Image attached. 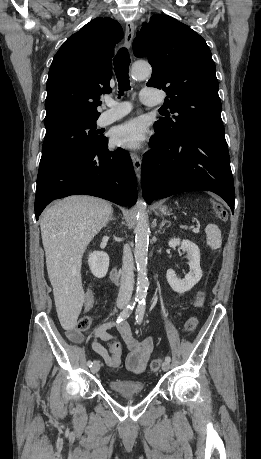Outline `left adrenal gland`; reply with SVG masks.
<instances>
[{
  "mask_svg": "<svg viewBox=\"0 0 261 459\" xmlns=\"http://www.w3.org/2000/svg\"><path fill=\"white\" fill-rule=\"evenodd\" d=\"M166 223H168L169 225L171 224L170 221L165 220L164 216H162V222H161L159 228L162 229L165 226Z\"/></svg>",
  "mask_w": 261,
  "mask_h": 459,
  "instance_id": "a2214340",
  "label": "left adrenal gland"
}]
</instances>
